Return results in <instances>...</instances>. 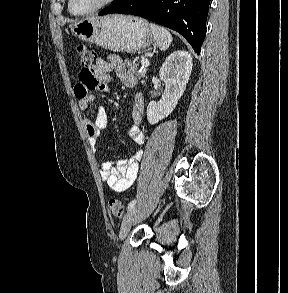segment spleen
<instances>
[{
	"label": "spleen",
	"mask_w": 288,
	"mask_h": 293,
	"mask_svg": "<svg viewBox=\"0 0 288 293\" xmlns=\"http://www.w3.org/2000/svg\"><path fill=\"white\" fill-rule=\"evenodd\" d=\"M150 29L160 50H167L172 42V35L170 32L167 29L153 23H150Z\"/></svg>",
	"instance_id": "obj_1"
}]
</instances>
